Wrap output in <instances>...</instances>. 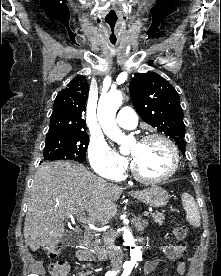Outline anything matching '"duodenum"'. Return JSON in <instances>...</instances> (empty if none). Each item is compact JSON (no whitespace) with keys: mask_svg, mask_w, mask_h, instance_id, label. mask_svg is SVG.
I'll use <instances>...</instances> for the list:
<instances>
[{"mask_svg":"<svg viewBox=\"0 0 221 276\" xmlns=\"http://www.w3.org/2000/svg\"><path fill=\"white\" fill-rule=\"evenodd\" d=\"M92 234L89 230L83 232V237L80 242V250L90 252L93 256H96L99 260H105L107 258V252L101 247L91 248Z\"/></svg>","mask_w":221,"mask_h":276,"instance_id":"obj_1","label":"duodenum"}]
</instances>
